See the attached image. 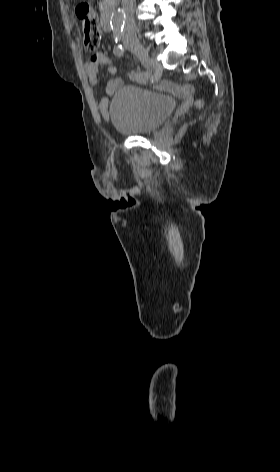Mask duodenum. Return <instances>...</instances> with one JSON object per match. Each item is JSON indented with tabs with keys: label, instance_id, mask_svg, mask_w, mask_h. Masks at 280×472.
I'll use <instances>...</instances> for the list:
<instances>
[{
	"label": "duodenum",
	"instance_id": "duodenum-1",
	"mask_svg": "<svg viewBox=\"0 0 280 472\" xmlns=\"http://www.w3.org/2000/svg\"><path fill=\"white\" fill-rule=\"evenodd\" d=\"M113 5L109 4L105 7L102 16V26L105 31H110L112 28Z\"/></svg>",
	"mask_w": 280,
	"mask_h": 472
}]
</instances>
